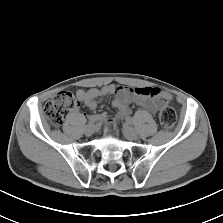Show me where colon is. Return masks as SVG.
<instances>
[{
  "label": "colon",
  "mask_w": 223,
  "mask_h": 223,
  "mask_svg": "<svg viewBox=\"0 0 223 223\" xmlns=\"http://www.w3.org/2000/svg\"><path fill=\"white\" fill-rule=\"evenodd\" d=\"M78 107L75 96L67 90L60 91L50 98L44 106V114L54 126H60L66 115ZM159 122L165 129H171L176 123V112L170 107H163L159 112Z\"/></svg>",
  "instance_id": "obj_1"
}]
</instances>
